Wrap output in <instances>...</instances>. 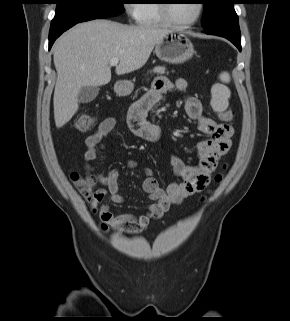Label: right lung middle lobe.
<instances>
[{
	"label": "right lung middle lobe",
	"instance_id": "1",
	"mask_svg": "<svg viewBox=\"0 0 290 321\" xmlns=\"http://www.w3.org/2000/svg\"><path fill=\"white\" fill-rule=\"evenodd\" d=\"M124 0H56L55 17L51 26L79 23L122 14Z\"/></svg>",
	"mask_w": 290,
	"mask_h": 321
}]
</instances>
